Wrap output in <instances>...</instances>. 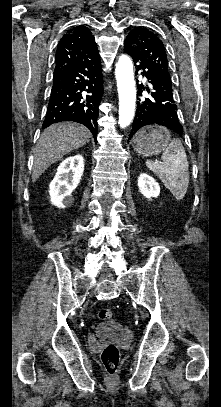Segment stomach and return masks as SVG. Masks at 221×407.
I'll return each mask as SVG.
<instances>
[{
    "mask_svg": "<svg viewBox=\"0 0 221 407\" xmlns=\"http://www.w3.org/2000/svg\"><path fill=\"white\" fill-rule=\"evenodd\" d=\"M170 140V132L162 127L148 126L141 129L134 138V150L139 155L149 157L165 151Z\"/></svg>",
    "mask_w": 221,
    "mask_h": 407,
    "instance_id": "1",
    "label": "stomach"
}]
</instances>
